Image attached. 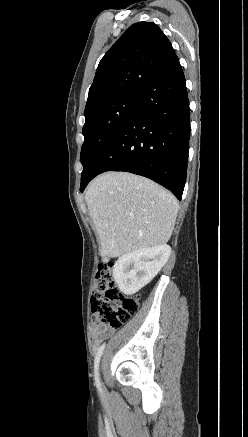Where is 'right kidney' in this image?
Listing matches in <instances>:
<instances>
[{
	"instance_id": "obj_1",
	"label": "right kidney",
	"mask_w": 248,
	"mask_h": 437,
	"mask_svg": "<svg viewBox=\"0 0 248 437\" xmlns=\"http://www.w3.org/2000/svg\"><path fill=\"white\" fill-rule=\"evenodd\" d=\"M171 255L167 244L136 250L122 255L113 268V277L121 292L133 295L158 274Z\"/></svg>"
}]
</instances>
